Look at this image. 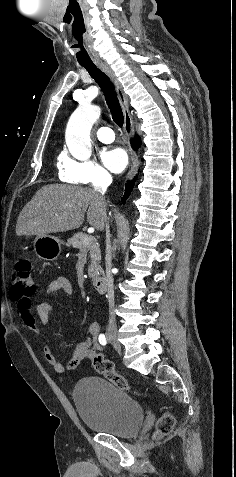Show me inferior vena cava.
<instances>
[{
    "instance_id": "inferior-vena-cava-1",
    "label": "inferior vena cava",
    "mask_w": 236,
    "mask_h": 477,
    "mask_svg": "<svg viewBox=\"0 0 236 477\" xmlns=\"http://www.w3.org/2000/svg\"><path fill=\"white\" fill-rule=\"evenodd\" d=\"M112 182L110 176L104 177L94 184V191L100 195L101 199L104 200L105 192L107 187ZM106 229V280H107V299L109 303V323L115 325V315H114V284H113V275H112V256H111V244H110V235L108 229L107 216L104 219V227Z\"/></svg>"
}]
</instances>
